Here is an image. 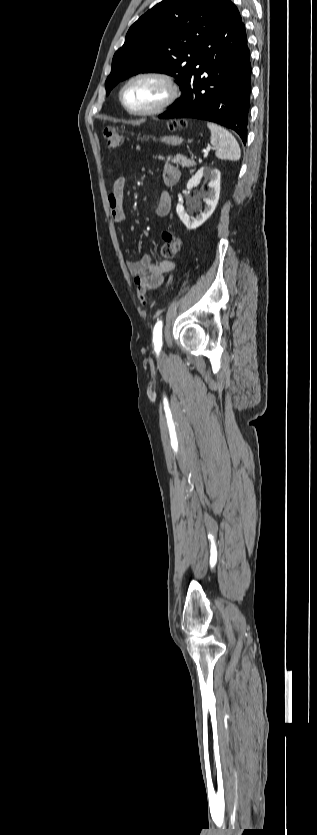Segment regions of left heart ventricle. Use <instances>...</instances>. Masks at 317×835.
<instances>
[{
  "label": "left heart ventricle",
  "instance_id": "obj_1",
  "mask_svg": "<svg viewBox=\"0 0 317 835\" xmlns=\"http://www.w3.org/2000/svg\"><path fill=\"white\" fill-rule=\"evenodd\" d=\"M165 96L163 86L153 79H140L130 84L124 91L125 103L134 110H147L154 107Z\"/></svg>",
  "mask_w": 317,
  "mask_h": 835
}]
</instances>
